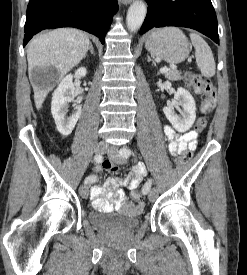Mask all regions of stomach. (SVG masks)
<instances>
[{
    "label": "stomach",
    "mask_w": 247,
    "mask_h": 275,
    "mask_svg": "<svg viewBox=\"0 0 247 275\" xmlns=\"http://www.w3.org/2000/svg\"><path fill=\"white\" fill-rule=\"evenodd\" d=\"M145 47L153 56L171 64L184 61L190 49L186 36L176 27H166L154 31L146 39Z\"/></svg>",
    "instance_id": "obj_1"
}]
</instances>
